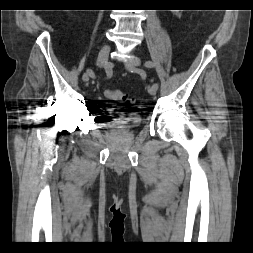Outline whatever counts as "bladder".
<instances>
[{"label":"bladder","mask_w":253,"mask_h":253,"mask_svg":"<svg viewBox=\"0 0 253 253\" xmlns=\"http://www.w3.org/2000/svg\"><path fill=\"white\" fill-rule=\"evenodd\" d=\"M141 124V119L131 115H125L120 121L108 122L103 127L109 129H117L122 131H133Z\"/></svg>","instance_id":"obj_1"}]
</instances>
